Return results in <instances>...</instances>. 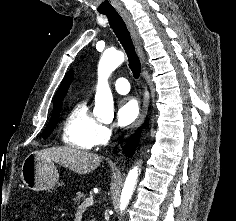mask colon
Returning a JSON list of instances; mask_svg holds the SVG:
<instances>
[{"instance_id":"1","label":"colon","mask_w":236,"mask_h":221,"mask_svg":"<svg viewBox=\"0 0 236 221\" xmlns=\"http://www.w3.org/2000/svg\"><path fill=\"white\" fill-rule=\"evenodd\" d=\"M14 221H27V220L23 217H17L14 219Z\"/></svg>"}]
</instances>
